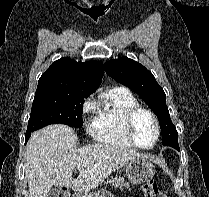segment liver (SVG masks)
Wrapping results in <instances>:
<instances>
[{
  "instance_id": "obj_1",
  "label": "liver",
  "mask_w": 209,
  "mask_h": 197,
  "mask_svg": "<svg viewBox=\"0 0 209 197\" xmlns=\"http://www.w3.org/2000/svg\"><path fill=\"white\" fill-rule=\"evenodd\" d=\"M74 131L53 124L35 131L26 146V178L30 197H46L53 186L79 194L97 188L115 170L139 157L134 150L103 143L77 148ZM79 175L72 178L74 169Z\"/></svg>"
}]
</instances>
